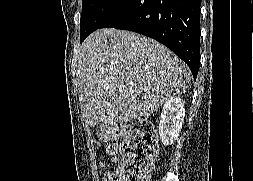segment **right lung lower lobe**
<instances>
[{
	"mask_svg": "<svg viewBox=\"0 0 253 181\" xmlns=\"http://www.w3.org/2000/svg\"><path fill=\"white\" fill-rule=\"evenodd\" d=\"M100 28L130 30L159 41L187 63L196 79L200 65V0H128ZM89 34L81 36L80 41Z\"/></svg>",
	"mask_w": 253,
	"mask_h": 181,
	"instance_id": "right-lung-lower-lobe-1",
	"label": "right lung lower lobe"
}]
</instances>
